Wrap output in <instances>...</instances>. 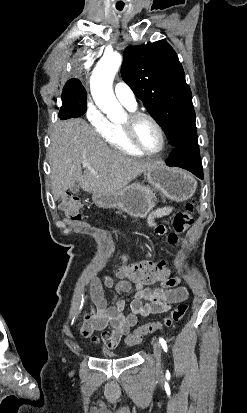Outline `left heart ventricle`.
Masks as SVG:
<instances>
[{"label":"left heart ventricle","mask_w":247,"mask_h":413,"mask_svg":"<svg viewBox=\"0 0 247 413\" xmlns=\"http://www.w3.org/2000/svg\"><path fill=\"white\" fill-rule=\"evenodd\" d=\"M137 136L146 149L156 151L162 145V137L157 128L147 120H141L137 126Z\"/></svg>","instance_id":"left-heart-ventricle-1"}]
</instances>
